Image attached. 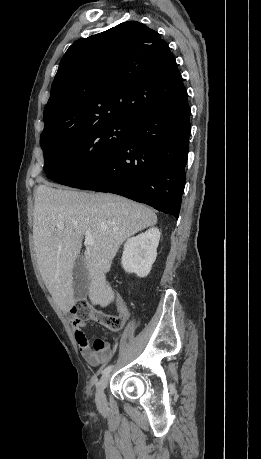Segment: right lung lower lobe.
<instances>
[{"instance_id": "right-lung-lower-lobe-1", "label": "right lung lower lobe", "mask_w": 261, "mask_h": 459, "mask_svg": "<svg viewBox=\"0 0 261 459\" xmlns=\"http://www.w3.org/2000/svg\"><path fill=\"white\" fill-rule=\"evenodd\" d=\"M189 118L185 90L172 104L138 119L116 154L68 186L122 195L178 218L186 180Z\"/></svg>"}]
</instances>
